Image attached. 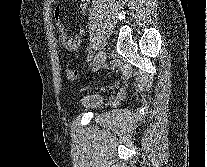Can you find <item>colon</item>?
Masks as SVG:
<instances>
[{
	"label": "colon",
	"mask_w": 207,
	"mask_h": 167,
	"mask_svg": "<svg viewBox=\"0 0 207 167\" xmlns=\"http://www.w3.org/2000/svg\"><path fill=\"white\" fill-rule=\"evenodd\" d=\"M65 76L69 80H74L78 76V72L73 68H66L65 69Z\"/></svg>",
	"instance_id": "colon-1"
}]
</instances>
